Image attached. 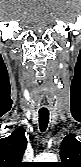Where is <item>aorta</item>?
I'll list each match as a JSON object with an SVG mask.
<instances>
[{
	"mask_svg": "<svg viewBox=\"0 0 81 167\" xmlns=\"http://www.w3.org/2000/svg\"><path fill=\"white\" fill-rule=\"evenodd\" d=\"M37 162H57V156L54 153H43L36 157Z\"/></svg>",
	"mask_w": 81,
	"mask_h": 167,
	"instance_id": "aorta-1",
	"label": "aorta"
}]
</instances>
